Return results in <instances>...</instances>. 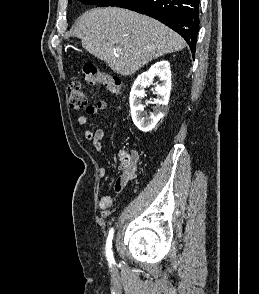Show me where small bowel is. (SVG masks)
I'll return each mask as SVG.
<instances>
[{
  "instance_id": "small-bowel-1",
  "label": "small bowel",
  "mask_w": 259,
  "mask_h": 294,
  "mask_svg": "<svg viewBox=\"0 0 259 294\" xmlns=\"http://www.w3.org/2000/svg\"><path fill=\"white\" fill-rule=\"evenodd\" d=\"M107 102L104 100H98L94 105L88 106L86 113L89 116H94L99 114L102 111H105L107 109ZM78 124L81 126H86L88 119L86 116H80L78 117ZM85 137L87 140L92 142L93 147L96 151L101 152L102 151V140L104 138V131L103 129H97L95 131H89L85 130ZM139 156L136 152L131 154V160H130V167L129 169L122 173L116 180L114 185V190L117 194H120L128 182V179L131 175V173L135 170L136 165L138 163ZM99 176L100 178H105L107 176V170L105 168H101L99 170ZM99 207L101 209V213L103 217H108L114 212L113 207V200L110 196H103L100 199Z\"/></svg>"
}]
</instances>
